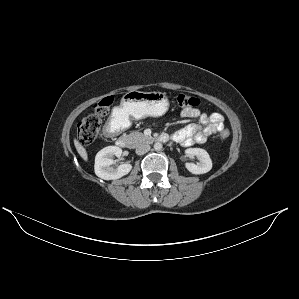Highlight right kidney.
Returning a JSON list of instances; mask_svg holds the SVG:
<instances>
[{
	"label": "right kidney",
	"instance_id": "1",
	"mask_svg": "<svg viewBox=\"0 0 299 299\" xmlns=\"http://www.w3.org/2000/svg\"><path fill=\"white\" fill-rule=\"evenodd\" d=\"M122 149L117 146H107L100 150L95 157V174L104 180H115L127 175L131 169V164L119 165L116 169L111 167L114 164L112 157H120Z\"/></svg>",
	"mask_w": 299,
	"mask_h": 299
}]
</instances>
